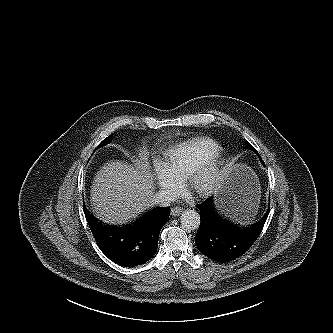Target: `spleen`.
I'll return each mask as SVG.
<instances>
[{
  "label": "spleen",
  "mask_w": 333,
  "mask_h": 333,
  "mask_svg": "<svg viewBox=\"0 0 333 333\" xmlns=\"http://www.w3.org/2000/svg\"><path fill=\"white\" fill-rule=\"evenodd\" d=\"M260 188H258V191H257V194H255V198L259 201L260 200ZM257 210H258V205L257 207L252 211V213H250L249 215H245L243 216L242 219H236V221L240 224H249L252 219L255 217L256 213H257Z\"/></svg>",
  "instance_id": "spleen-1"
}]
</instances>
